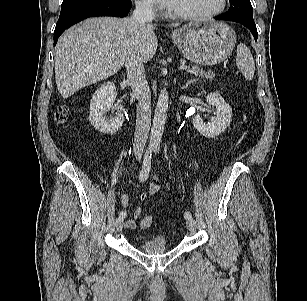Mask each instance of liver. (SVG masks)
Wrapping results in <instances>:
<instances>
[{
    "mask_svg": "<svg viewBox=\"0 0 307 301\" xmlns=\"http://www.w3.org/2000/svg\"><path fill=\"white\" fill-rule=\"evenodd\" d=\"M154 29L155 25L148 23L139 31L132 17L90 18L68 29L55 48V79L61 96L67 99L79 89L116 74L132 47L138 49L143 63L151 60L158 46Z\"/></svg>",
    "mask_w": 307,
    "mask_h": 301,
    "instance_id": "1",
    "label": "liver"
}]
</instances>
